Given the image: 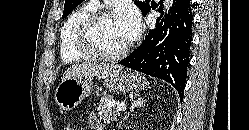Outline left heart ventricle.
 <instances>
[{"instance_id": "left-heart-ventricle-1", "label": "left heart ventricle", "mask_w": 249, "mask_h": 130, "mask_svg": "<svg viewBox=\"0 0 249 130\" xmlns=\"http://www.w3.org/2000/svg\"><path fill=\"white\" fill-rule=\"evenodd\" d=\"M93 38L96 46L107 53L118 52L129 43L116 15L102 20L95 28Z\"/></svg>"}]
</instances>
